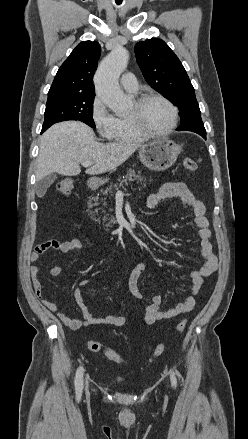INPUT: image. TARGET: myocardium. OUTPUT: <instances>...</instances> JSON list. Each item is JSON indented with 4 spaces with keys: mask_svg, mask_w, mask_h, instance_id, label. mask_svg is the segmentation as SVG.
Returning a JSON list of instances; mask_svg holds the SVG:
<instances>
[{
    "mask_svg": "<svg viewBox=\"0 0 248 439\" xmlns=\"http://www.w3.org/2000/svg\"><path fill=\"white\" fill-rule=\"evenodd\" d=\"M153 99H158L163 101L171 110L172 112V122L168 129L162 132H154L149 130L144 122H143V116L142 111L145 106V104ZM130 121L132 122L134 128L141 134H143L146 137H165L170 135L174 129L177 126L178 123V110L177 107L165 96L158 94V93H148L140 96L136 102H135V110L134 112L129 115Z\"/></svg>",
    "mask_w": 248,
    "mask_h": 439,
    "instance_id": "f54148a6",
    "label": "myocardium"
}]
</instances>
